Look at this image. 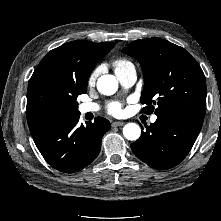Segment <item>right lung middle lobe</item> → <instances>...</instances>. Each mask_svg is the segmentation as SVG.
<instances>
[{
	"label": "right lung middle lobe",
	"mask_w": 221,
	"mask_h": 221,
	"mask_svg": "<svg viewBox=\"0 0 221 221\" xmlns=\"http://www.w3.org/2000/svg\"><path fill=\"white\" fill-rule=\"evenodd\" d=\"M97 61H98V60H97ZM95 65H96V62H95V63H92V64L85 65V66L83 67L82 73L84 74V76H85L87 79H88V77L90 76V74H91L93 68L95 67ZM86 91H87V83H84V84L81 86V88H79V89L76 91V93H75V104H74V108H73V110H72L71 112H69V113H73V114H74V113H79V111L77 110V109H78V103H77L76 99H77V96H78L79 94L86 93Z\"/></svg>",
	"instance_id": "right-lung-middle-lobe-1"
}]
</instances>
